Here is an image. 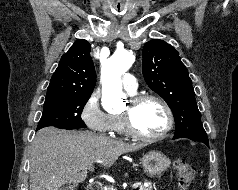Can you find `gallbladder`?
Returning <instances> with one entry per match:
<instances>
[{
    "label": "gallbladder",
    "mask_w": 238,
    "mask_h": 190,
    "mask_svg": "<svg viewBox=\"0 0 238 190\" xmlns=\"http://www.w3.org/2000/svg\"><path fill=\"white\" fill-rule=\"evenodd\" d=\"M61 190H76V186L72 184L65 185Z\"/></svg>",
    "instance_id": "bac80fb5"
}]
</instances>
